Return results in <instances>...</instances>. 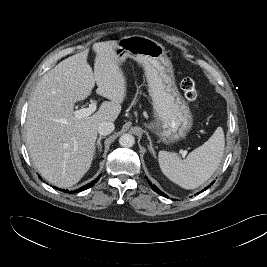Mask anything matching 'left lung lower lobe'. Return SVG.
<instances>
[{
	"label": "left lung lower lobe",
	"instance_id": "1",
	"mask_svg": "<svg viewBox=\"0 0 267 267\" xmlns=\"http://www.w3.org/2000/svg\"><path fill=\"white\" fill-rule=\"evenodd\" d=\"M147 181H148V183L150 184V186L152 187V189H153L155 192H157L158 194H160V195H162V196L168 198V196L165 195L163 192H161L155 185H152V183H151L149 180H147ZM211 184H213V183H211ZM209 187H210V186H209ZM204 190H206V188H205ZM204 190H203V191H204ZM201 192H202V191H201ZM197 194H199V193H197Z\"/></svg>",
	"mask_w": 267,
	"mask_h": 267
}]
</instances>
